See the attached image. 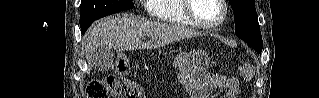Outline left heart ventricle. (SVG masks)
<instances>
[{
    "mask_svg": "<svg viewBox=\"0 0 319 98\" xmlns=\"http://www.w3.org/2000/svg\"><path fill=\"white\" fill-rule=\"evenodd\" d=\"M192 11L201 20L215 23L222 17L223 9L218 0H194Z\"/></svg>",
    "mask_w": 319,
    "mask_h": 98,
    "instance_id": "left-heart-ventricle-1",
    "label": "left heart ventricle"
}]
</instances>
